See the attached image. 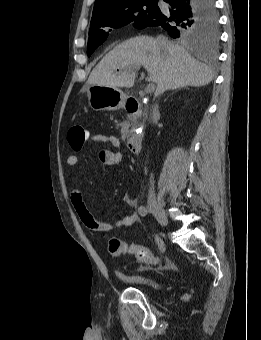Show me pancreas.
<instances>
[{
	"label": "pancreas",
	"mask_w": 261,
	"mask_h": 340,
	"mask_svg": "<svg viewBox=\"0 0 261 340\" xmlns=\"http://www.w3.org/2000/svg\"><path fill=\"white\" fill-rule=\"evenodd\" d=\"M131 119V118H130ZM131 124L129 121H126L122 124V129H121V139L124 141L125 139L129 138L131 135V130L129 129Z\"/></svg>",
	"instance_id": "pancreas-1"
}]
</instances>
